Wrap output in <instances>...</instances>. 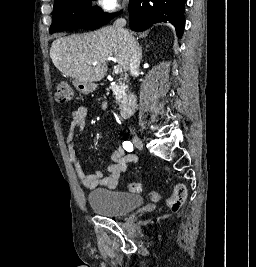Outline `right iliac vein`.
Wrapping results in <instances>:
<instances>
[{"label":"right iliac vein","mask_w":256,"mask_h":267,"mask_svg":"<svg viewBox=\"0 0 256 267\" xmlns=\"http://www.w3.org/2000/svg\"><path fill=\"white\" fill-rule=\"evenodd\" d=\"M132 142L134 143V145L138 148L141 149L143 148V141L142 139L137 135V134H133V139Z\"/></svg>","instance_id":"right-iliac-vein-1"}]
</instances>
